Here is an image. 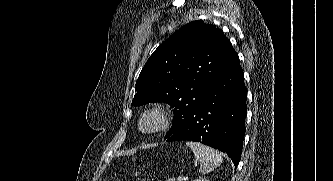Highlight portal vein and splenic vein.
Masks as SVG:
<instances>
[{"mask_svg":"<svg viewBox=\"0 0 333 181\" xmlns=\"http://www.w3.org/2000/svg\"><path fill=\"white\" fill-rule=\"evenodd\" d=\"M185 178L183 176L178 177V181H183Z\"/></svg>","mask_w":333,"mask_h":181,"instance_id":"1","label":"portal vein and splenic vein"}]
</instances>
